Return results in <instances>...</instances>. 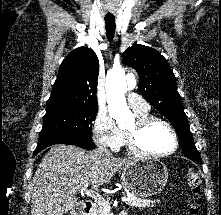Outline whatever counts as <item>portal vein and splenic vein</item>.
<instances>
[{
    "label": "portal vein and splenic vein",
    "mask_w": 221,
    "mask_h": 215,
    "mask_svg": "<svg viewBox=\"0 0 221 215\" xmlns=\"http://www.w3.org/2000/svg\"><path fill=\"white\" fill-rule=\"evenodd\" d=\"M81 192L84 193V194H86L87 196H90V197L96 199V200H97V199L99 200V199L101 198V196H100L96 191H94V190H88L86 186H84V187L81 188ZM130 199H131L130 197H122V198H121V200H122L123 202L129 201Z\"/></svg>",
    "instance_id": "portal-vein-and-splenic-vein-1"
}]
</instances>
